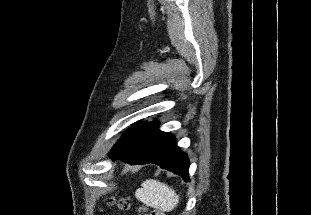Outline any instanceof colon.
I'll return each instance as SVG.
<instances>
[{
  "mask_svg": "<svg viewBox=\"0 0 311 215\" xmlns=\"http://www.w3.org/2000/svg\"><path fill=\"white\" fill-rule=\"evenodd\" d=\"M108 204L116 205L118 209H120L121 211H127L130 208V202L129 199L127 198H120L118 200L114 198H109ZM136 215H165V214L156 209L148 210L147 208L142 207L137 210Z\"/></svg>",
  "mask_w": 311,
  "mask_h": 215,
  "instance_id": "colon-1",
  "label": "colon"
}]
</instances>
